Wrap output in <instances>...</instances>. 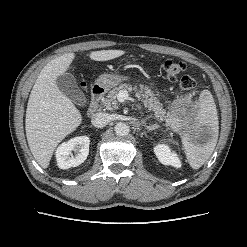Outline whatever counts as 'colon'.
Returning <instances> with one entry per match:
<instances>
[{
  "mask_svg": "<svg viewBox=\"0 0 247 247\" xmlns=\"http://www.w3.org/2000/svg\"><path fill=\"white\" fill-rule=\"evenodd\" d=\"M162 69L165 72L167 78L174 82L181 76L185 71L186 65L174 59H167L162 64ZM179 86L182 91L188 92L192 90L195 86V81L192 77L185 75L179 80Z\"/></svg>",
  "mask_w": 247,
  "mask_h": 247,
  "instance_id": "obj_1",
  "label": "colon"
}]
</instances>
